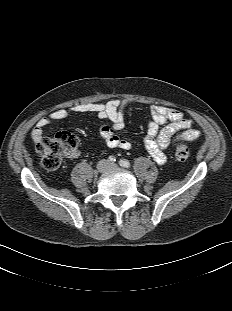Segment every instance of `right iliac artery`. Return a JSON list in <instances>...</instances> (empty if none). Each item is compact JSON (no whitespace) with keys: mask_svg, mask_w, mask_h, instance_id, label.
Returning <instances> with one entry per match:
<instances>
[{"mask_svg":"<svg viewBox=\"0 0 232 311\" xmlns=\"http://www.w3.org/2000/svg\"><path fill=\"white\" fill-rule=\"evenodd\" d=\"M108 159H109V161L112 162V163L116 161V159H115L114 156H110Z\"/></svg>","mask_w":232,"mask_h":311,"instance_id":"1","label":"right iliac artery"}]
</instances>
